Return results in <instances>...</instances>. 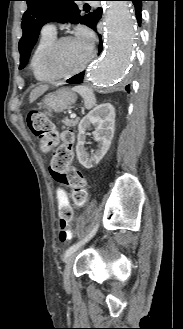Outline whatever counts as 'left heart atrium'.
<instances>
[{
  "label": "left heart atrium",
  "mask_w": 183,
  "mask_h": 329,
  "mask_svg": "<svg viewBox=\"0 0 183 329\" xmlns=\"http://www.w3.org/2000/svg\"><path fill=\"white\" fill-rule=\"evenodd\" d=\"M75 39L84 45L87 48H91L93 44V35L92 33L85 27H79L76 32Z\"/></svg>",
  "instance_id": "39dd6f15"
}]
</instances>
